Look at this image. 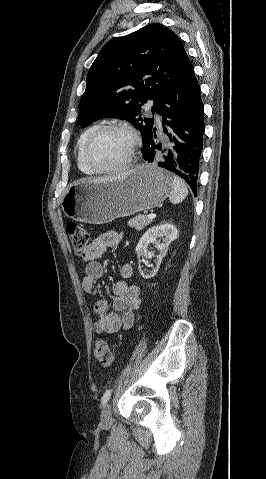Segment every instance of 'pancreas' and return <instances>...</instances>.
Wrapping results in <instances>:
<instances>
[{
	"label": "pancreas",
	"mask_w": 266,
	"mask_h": 479,
	"mask_svg": "<svg viewBox=\"0 0 266 479\" xmlns=\"http://www.w3.org/2000/svg\"><path fill=\"white\" fill-rule=\"evenodd\" d=\"M151 222L152 219L147 218L145 215L139 214L134 218L130 219L128 221V225L140 231Z\"/></svg>",
	"instance_id": "1"
}]
</instances>
